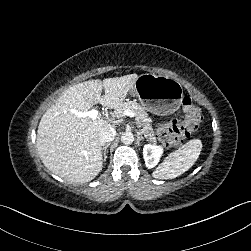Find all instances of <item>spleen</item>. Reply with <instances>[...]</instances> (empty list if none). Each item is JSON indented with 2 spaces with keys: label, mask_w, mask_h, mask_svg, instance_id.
Returning a JSON list of instances; mask_svg holds the SVG:
<instances>
[{
  "label": "spleen",
  "mask_w": 251,
  "mask_h": 251,
  "mask_svg": "<svg viewBox=\"0 0 251 251\" xmlns=\"http://www.w3.org/2000/svg\"><path fill=\"white\" fill-rule=\"evenodd\" d=\"M201 142L191 140L185 146L172 153L153 173L158 179L174 178L189 169L199 156Z\"/></svg>",
  "instance_id": "obj_1"
}]
</instances>
